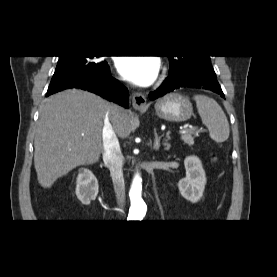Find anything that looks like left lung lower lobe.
<instances>
[{
    "instance_id": "0a47b994",
    "label": "left lung lower lobe",
    "mask_w": 277,
    "mask_h": 277,
    "mask_svg": "<svg viewBox=\"0 0 277 277\" xmlns=\"http://www.w3.org/2000/svg\"><path fill=\"white\" fill-rule=\"evenodd\" d=\"M189 86L200 87L224 96L214 70H200L191 71L186 74L169 73V76L164 80L162 85L156 91L149 94V98L155 100L175 89Z\"/></svg>"
}]
</instances>
